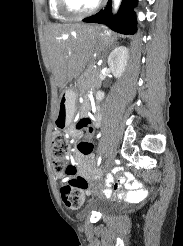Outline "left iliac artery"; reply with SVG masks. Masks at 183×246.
<instances>
[{"mask_svg": "<svg viewBox=\"0 0 183 246\" xmlns=\"http://www.w3.org/2000/svg\"><path fill=\"white\" fill-rule=\"evenodd\" d=\"M101 160H102V157L99 156L98 160H97V165L99 166L101 164Z\"/></svg>", "mask_w": 183, "mask_h": 246, "instance_id": "44dca946", "label": "left iliac artery"}]
</instances>
